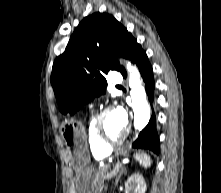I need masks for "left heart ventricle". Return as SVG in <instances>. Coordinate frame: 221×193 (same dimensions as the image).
Here are the masks:
<instances>
[{
  "label": "left heart ventricle",
  "mask_w": 221,
  "mask_h": 193,
  "mask_svg": "<svg viewBox=\"0 0 221 193\" xmlns=\"http://www.w3.org/2000/svg\"><path fill=\"white\" fill-rule=\"evenodd\" d=\"M103 130L106 136L110 139H116L120 137L125 131L126 125L122 124L114 111L107 113L102 123Z\"/></svg>",
  "instance_id": "b2bd125f"
}]
</instances>
